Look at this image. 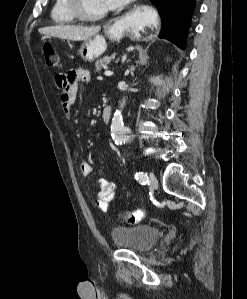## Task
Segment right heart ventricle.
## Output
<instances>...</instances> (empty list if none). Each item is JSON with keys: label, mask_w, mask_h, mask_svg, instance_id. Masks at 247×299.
<instances>
[{"label": "right heart ventricle", "mask_w": 247, "mask_h": 299, "mask_svg": "<svg viewBox=\"0 0 247 299\" xmlns=\"http://www.w3.org/2000/svg\"><path fill=\"white\" fill-rule=\"evenodd\" d=\"M50 17L55 24L60 25L72 24L77 20L70 11L67 0H54Z\"/></svg>", "instance_id": "1"}]
</instances>
